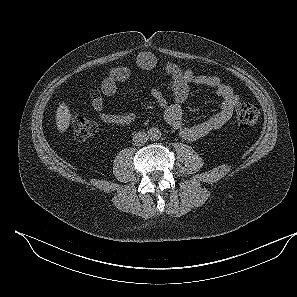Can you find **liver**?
<instances>
[{
    "instance_id": "liver-1",
    "label": "liver",
    "mask_w": 297,
    "mask_h": 297,
    "mask_svg": "<svg viewBox=\"0 0 297 297\" xmlns=\"http://www.w3.org/2000/svg\"><path fill=\"white\" fill-rule=\"evenodd\" d=\"M71 113L65 103H61L56 110V126L59 132H65L70 124Z\"/></svg>"
}]
</instances>
